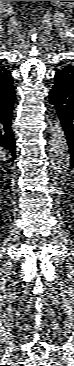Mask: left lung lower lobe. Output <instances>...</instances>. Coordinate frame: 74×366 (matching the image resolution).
<instances>
[{"label":"left lung lower lobe","instance_id":"1","mask_svg":"<svg viewBox=\"0 0 74 366\" xmlns=\"http://www.w3.org/2000/svg\"><path fill=\"white\" fill-rule=\"evenodd\" d=\"M54 79L50 103L57 110L69 146L70 166L74 167V63L57 71Z\"/></svg>","mask_w":74,"mask_h":366}]
</instances>
